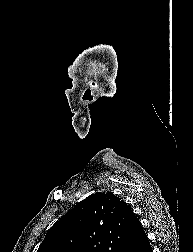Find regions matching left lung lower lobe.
Here are the masks:
<instances>
[{
  "label": "left lung lower lobe",
  "instance_id": "obj_1",
  "mask_svg": "<svg viewBox=\"0 0 193 252\" xmlns=\"http://www.w3.org/2000/svg\"><path fill=\"white\" fill-rule=\"evenodd\" d=\"M123 252H153L141 223L137 225Z\"/></svg>",
  "mask_w": 193,
  "mask_h": 252
}]
</instances>
